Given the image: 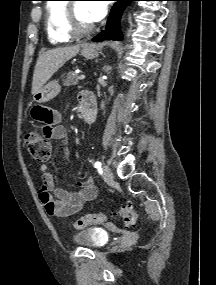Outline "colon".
Returning a JSON list of instances; mask_svg holds the SVG:
<instances>
[{
	"instance_id": "colon-1",
	"label": "colon",
	"mask_w": 216,
	"mask_h": 285,
	"mask_svg": "<svg viewBox=\"0 0 216 285\" xmlns=\"http://www.w3.org/2000/svg\"><path fill=\"white\" fill-rule=\"evenodd\" d=\"M43 137L35 133V129L27 133L25 137L28 152L35 160L41 162L47 161L50 157L49 141H44ZM112 217L122 220L126 226L133 227L136 223L137 214L131 205H124L115 211ZM107 218L104 213L87 214L75 222V228L81 230L91 225L101 224Z\"/></svg>"
}]
</instances>
